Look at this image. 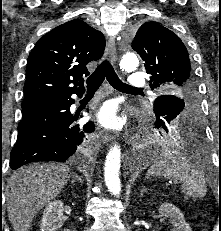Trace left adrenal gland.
Returning <instances> with one entry per match:
<instances>
[{
    "mask_svg": "<svg viewBox=\"0 0 221 231\" xmlns=\"http://www.w3.org/2000/svg\"><path fill=\"white\" fill-rule=\"evenodd\" d=\"M144 192H147V190H146V188L143 187V188L141 189V191H140L141 197L143 196V193H144Z\"/></svg>",
    "mask_w": 221,
    "mask_h": 231,
    "instance_id": "obj_1",
    "label": "left adrenal gland"
}]
</instances>
